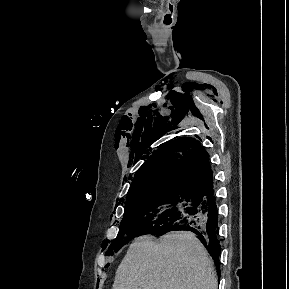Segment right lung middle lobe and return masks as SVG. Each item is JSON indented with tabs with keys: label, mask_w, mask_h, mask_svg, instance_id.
<instances>
[{
	"label": "right lung middle lobe",
	"mask_w": 289,
	"mask_h": 289,
	"mask_svg": "<svg viewBox=\"0 0 289 289\" xmlns=\"http://www.w3.org/2000/svg\"><path fill=\"white\" fill-rule=\"evenodd\" d=\"M198 197L188 193H161L127 200L119 233L106 255L117 252L133 238L170 227L197 204Z\"/></svg>",
	"instance_id": "dd1d6c3e"
}]
</instances>
